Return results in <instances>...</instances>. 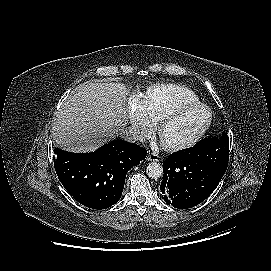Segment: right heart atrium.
Instances as JSON below:
<instances>
[{"label": "right heart atrium", "instance_id": "right-heart-atrium-1", "mask_svg": "<svg viewBox=\"0 0 271 271\" xmlns=\"http://www.w3.org/2000/svg\"><path fill=\"white\" fill-rule=\"evenodd\" d=\"M127 122L132 133L137 138L145 137L152 130L153 122L147 115L143 95H133L131 99V106L127 115Z\"/></svg>", "mask_w": 271, "mask_h": 271}]
</instances>
